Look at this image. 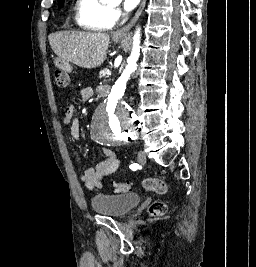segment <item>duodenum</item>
<instances>
[{"instance_id": "duodenum-1", "label": "duodenum", "mask_w": 256, "mask_h": 267, "mask_svg": "<svg viewBox=\"0 0 256 267\" xmlns=\"http://www.w3.org/2000/svg\"><path fill=\"white\" fill-rule=\"evenodd\" d=\"M60 73H72V68L71 67H67V68H60L59 69ZM98 89H99V95L98 98L99 99H108L110 94V89L108 85H104L103 82H98L97 83Z\"/></svg>"}]
</instances>
